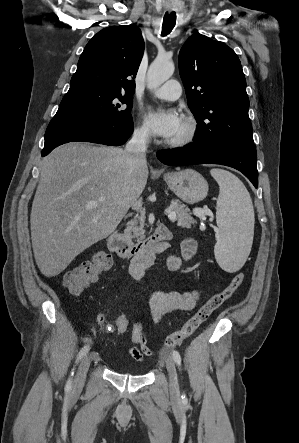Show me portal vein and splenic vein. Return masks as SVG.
Segmentation results:
<instances>
[{
  "label": "portal vein and splenic vein",
  "instance_id": "1",
  "mask_svg": "<svg viewBox=\"0 0 299 443\" xmlns=\"http://www.w3.org/2000/svg\"><path fill=\"white\" fill-rule=\"evenodd\" d=\"M97 206V202L96 201H92L90 203H88L87 207L91 208V207H95ZM165 213L168 214V218L172 221H174L176 219V213L173 212L170 208L165 210ZM203 214H207L202 212Z\"/></svg>",
  "mask_w": 299,
  "mask_h": 443
}]
</instances>
